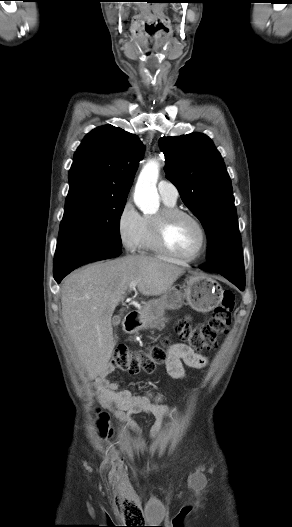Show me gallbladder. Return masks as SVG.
<instances>
[{
    "instance_id": "gallbladder-1",
    "label": "gallbladder",
    "mask_w": 292,
    "mask_h": 527,
    "mask_svg": "<svg viewBox=\"0 0 292 527\" xmlns=\"http://www.w3.org/2000/svg\"><path fill=\"white\" fill-rule=\"evenodd\" d=\"M121 322V317L120 316H114L113 319H112V324L114 327L118 326Z\"/></svg>"
}]
</instances>
